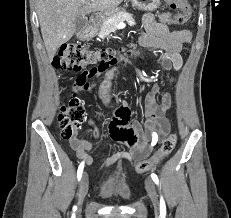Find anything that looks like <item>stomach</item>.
I'll list each match as a JSON object with an SVG mask.
<instances>
[{"mask_svg":"<svg viewBox=\"0 0 231 218\" xmlns=\"http://www.w3.org/2000/svg\"><path fill=\"white\" fill-rule=\"evenodd\" d=\"M132 7L137 9H142L146 11H153L160 5V0H131ZM119 11V9L115 10Z\"/></svg>","mask_w":231,"mask_h":218,"instance_id":"0dacf381","label":"stomach"}]
</instances>
